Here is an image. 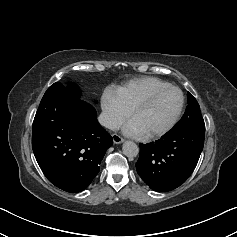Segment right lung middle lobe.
Wrapping results in <instances>:
<instances>
[{"instance_id":"dd1d6c3e","label":"right lung middle lobe","mask_w":237,"mask_h":237,"mask_svg":"<svg viewBox=\"0 0 237 237\" xmlns=\"http://www.w3.org/2000/svg\"><path fill=\"white\" fill-rule=\"evenodd\" d=\"M65 86V85H64ZM75 97L79 98L80 96V91H79V88L73 84V83H70L68 84L67 86H65Z\"/></svg>"}]
</instances>
